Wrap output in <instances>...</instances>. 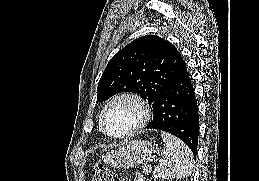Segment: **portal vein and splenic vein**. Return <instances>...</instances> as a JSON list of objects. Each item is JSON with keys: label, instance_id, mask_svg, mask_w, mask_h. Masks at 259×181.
Returning a JSON list of instances; mask_svg holds the SVG:
<instances>
[{"label": "portal vein and splenic vein", "instance_id": "18ae733b", "mask_svg": "<svg viewBox=\"0 0 259 181\" xmlns=\"http://www.w3.org/2000/svg\"><path fill=\"white\" fill-rule=\"evenodd\" d=\"M143 172H148V167H143Z\"/></svg>", "mask_w": 259, "mask_h": 181}]
</instances>
